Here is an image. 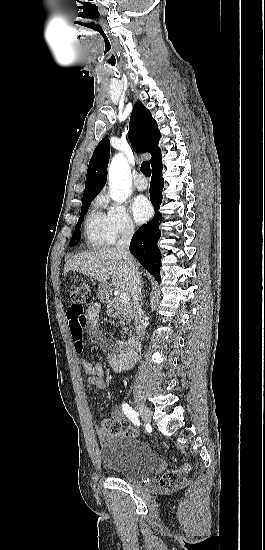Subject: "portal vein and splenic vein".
Wrapping results in <instances>:
<instances>
[{"label": "portal vein and splenic vein", "instance_id": "portal-vein-and-splenic-vein-1", "mask_svg": "<svg viewBox=\"0 0 265 550\" xmlns=\"http://www.w3.org/2000/svg\"><path fill=\"white\" fill-rule=\"evenodd\" d=\"M119 298L122 303H128L130 301V296L126 292L121 293Z\"/></svg>", "mask_w": 265, "mask_h": 550}]
</instances>
